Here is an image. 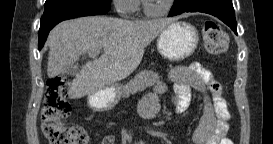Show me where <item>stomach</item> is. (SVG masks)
<instances>
[{"label":"stomach","mask_w":273,"mask_h":144,"mask_svg":"<svg viewBox=\"0 0 273 144\" xmlns=\"http://www.w3.org/2000/svg\"><path fill=\"white\" fill-rule=\"evenodd\" d=\"M199 41L197 29L190 23L174 21L166 26L157 38L159 53L170 61H180L189 57ZM120 85H113L89 94L88 105L95 111H107L115 107L121 98Z\"/></svg>","instance_id":"0dacf381"}]
</instances>
